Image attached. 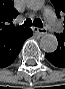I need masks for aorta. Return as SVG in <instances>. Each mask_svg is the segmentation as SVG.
Wrapping results in <instances>:
<instances>
[{
	"instance_id": "obj_1",
	"label": "aorta",
	"mask_w": 65,
	"mask_h": 89,
	"mask_svg": "<svg viewBox=\"0 0 65 89\" xmlns=\"http://www.w3.org/2000/svg\"><path fill=\"white\" fill-rule=\"evenodd\" d=\"M44 6L42 0H35L29 2V7L33 10H39ZM40 47L44 52L53 53L58 47V41L54 34H44L40 40Z\"/></svg>"
}]
</instances>
